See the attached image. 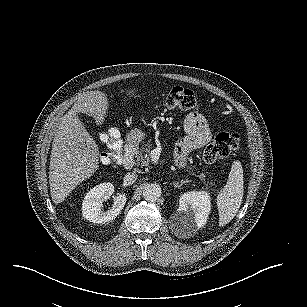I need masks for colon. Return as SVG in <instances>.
I'll return each mask as SVG.
<instances>
[{"mask_svg":"<svg viewBox=\"0 0 307 307\" xmlns=\"http://www.w3.org/2000/svg\"><path fill=\"white\" fill-rule=\"evenodd\" d=\"M163 105L167 108L179 110H194L197 108L195 93L188 88L173 87L163 99ZM104 142L108 146V152L104 154L101 161L110 165L121 159V141L116 129H109L103 133ZM240 137L236 133L222 132L215 136L214 140L205 148L202 158L206 163H212L219 158L226 157L232 152L239 151Z\"/></svg>","mask_w":307,"mask_h":307,"instance_id":"1","label":"colon"}]
</instances>
